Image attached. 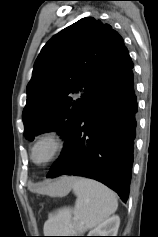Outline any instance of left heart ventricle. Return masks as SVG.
<instances>
[{"label":"left heart ventricle","mask_w":158,"mask_h":237,"mask_svg":"<svg viewBox=\"0 0 158 237\" xmlns=\"http://www.w3.org/2000/svg\"><path fill=\"white\" fill-rule=\"evenodd\" d=\"M53 149L52 144L49 141H43L35 149L34 158L40 162L48 158Z\"/></svg>","instance_id":"1"}]
</instances>
